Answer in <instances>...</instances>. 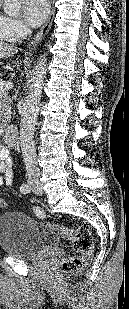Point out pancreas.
Instances as JSON below:
<instances>
[{
  "instance_id": "pancreas-1",
  "label": "pancreas",
  "mask_w": 129,
  "mask_h": 309,
  "mask_svg": "<svg viewBox=\"0 0 129 309\" xmlns=\"http://www.w3.org/2000/svg\"><path fill=\"white\" fill-rule=\"evenodd\" d=\"M6 82V80L0 78V84ZM8 91L9 89L0 87V93L2 92L3 95V99H0V128L7 126L11 120V108L5 104V102L8 100Z\"/></svg>"
}]
</instances>
